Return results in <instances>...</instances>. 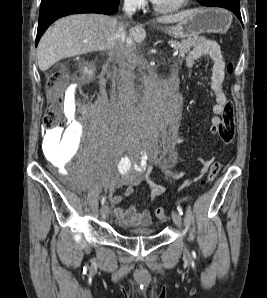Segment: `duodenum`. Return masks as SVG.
I'll use <instances>...</instances> for the list:
<instances>
[{"instance_id": "obj_1", "label": "duodenum", "mask_w": 267, "mask_h": 298, "mask_svg": "<svg viewBox=\"0 0 267 298\" xmlns=\"http://www.w3.org/2000/svg\"><path fill=\"white\" fill-rule=\"evenodd\" d=\"M175 79H176V77H175V74L173 73L172 76H171V78H170V80H169L168 83H167V86H169L170 91H171L172 88L174 87Z\"/></svg>"}]
</instances>
